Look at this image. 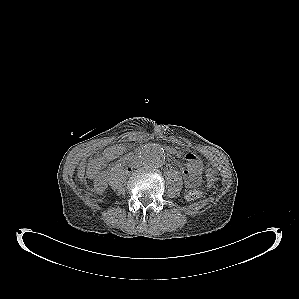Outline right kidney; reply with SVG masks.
<instances>
[{
    "instance_id": "obj_1",
    "label": "right kidney",
    "mask_w": 299,
    "mask_h": 299,
    "mask_svg": "<svg viewBox=\"0 0 299 299\" xmlns=\"http://www.w3.org/2000/svg\"><path fill=\"white\" fill-rule=\"evenodd\" d=\"M94 187L96 189V191L98 192H102L107 188V182L104 178V175H99L98 177L95 178L94 180Z\"/></svg>"
}]
</instances>
